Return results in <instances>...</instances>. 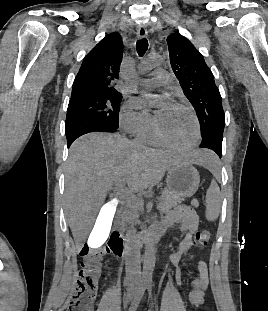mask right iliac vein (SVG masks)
Here are the masks:
<instances>
[{
    "label": "right iliac vein",
    "mask_w": 268,
    "mask_h": 311,
    "mask_svg": "<svg viewBox=\"0 0 268 311\" xmlns=\"http://www.w3.org/2000/svg\"><path fill=\"white\" fill-rule=\"evenodd\" d=\"M137 291L136 288L132 287L128 290V294H127V300L130 302L134 299V297L136 296Z\"/></svg>",
    "instance_id": "63e3f726"
}]
</instances>
